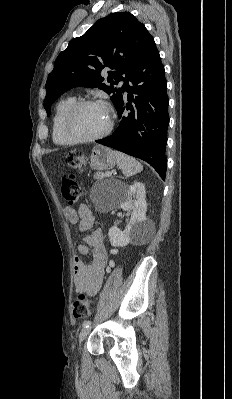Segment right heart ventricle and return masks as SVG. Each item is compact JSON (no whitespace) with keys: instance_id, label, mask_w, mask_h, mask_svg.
I'll return each instance as SVG.
<instances>
[{"instance_id":"e07e8e85","label":"right heart ventricle","mask_w":232,"mask_h":399,"mask_svg":"<svg viewBox=\"0 0 232 399\" xmlns=\"http://www.w3.org/2000/svg\"><path fill=\"white\" fill-rule=\"evenodd\" d=\"M77 102L74 97L60 101L54 108L51 132L53 142L61 147H73L76 145L64 132L63 120L69 108Z\"/></svg>"}]
</instances>
